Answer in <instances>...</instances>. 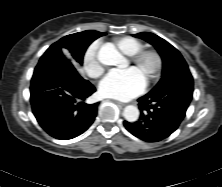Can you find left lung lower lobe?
I'll list each match as a JSON object with an SVG mask.
<instances>
[{
  "label": "left lung lower lobe",
  "instance_id": "1",
  "mask_svg": "<svg viewBox=\"0 0 222 187\" xmlns=\"http://www.w3.org/2000/svg\"><path fill=\"white\" fill-rule=\"evenodd\" d=\"M182 87L174 97H161L163 93L150 92L140 97V120L134 123L124 121L126 129L147 142H157L170 136L179 127L192 100L193 79L184 80Z\"/></svg>",
  "mask_w": 222,
  "mask_h": 187
}]
</instances>
